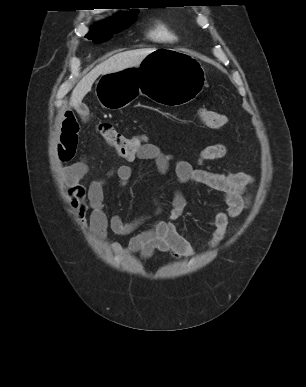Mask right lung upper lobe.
Listing matches in <instances>:
<instances>
[{"instance_id": "cb5924a9", "label": "right lung upper lobe", "mask_w": 306, "mask_h": 387, "mask_svg": "<svg viewBox=\"0 0 306 387\" xmlns=\"http://www.w3.org/2000/svg\"><path fill=\"white\" fill-rule=\"evenodd\" d=\"M116 16H118V15H116ZM116 16H115V17H116ZM112 19H113V18H112ZM109 20H111V19H109ZM109 20H106V21H104V22H101V23H105V22H107V21H109Z\"/></svg>"}]
</instances>
